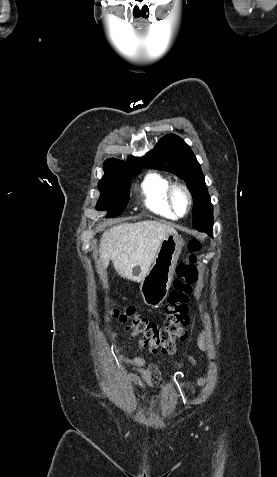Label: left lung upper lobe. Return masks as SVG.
<instances>
[{
  "label": "left lung upper lobe",
  "instance_id": "obj_1",
  "mask_svg": "<svg viewBox=\"0 0 277 477\" xmlns=\"http://www.w3.org/2000/svg\"><path fill=\"white\" fill-rule=\"evenodd\" d=\"M145 167L174 173L186 182L194 200L192 223L195 229L213 224V206L200 164L179 136L162 137L146 154Z\"/></svg>",
  "mask_w": 277,
  "mask_h": 477
}]
</instances>
